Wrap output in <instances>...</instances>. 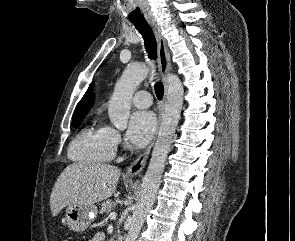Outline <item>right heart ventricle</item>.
<instances>
[{
	"label": "right heart ventricle",
	"mask_w": 295,
	"mask_h": 241,
	"mask_svg": "<svg viewBox=\"0 0 295 241\" xmlns=\"http://www.w3.org/2000/svg\"><path fill=\"white\" fill-rule=\"evenodd\" d=\"M69 157L84 164H103L112 160L115 146L111 128L105 125H89L83 128L69 147Z\"/></svg>",
	"instance_id": "right-heart-ventricle-1"
}]
</instances>
